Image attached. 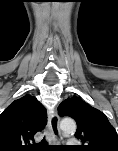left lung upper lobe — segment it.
I'll return each mask as SVG.
<instances>
[{
    "instance_id": "left-lung-upper-lobe-1",
    "label": "left lung upper lobe",
    "mask_w": 118,
    "mask_h": 151,
    "mask_svg": "<svg viewBox=\"0 0 118 151\" xmlns=\"http://www.w3.org/2000/svg\"><path fill=\"white\" fill-rule=\"evenodd\" d=\"M60 116L77 122L76 138L85 145L81 151H118V137L106 115L77 96L67 98L58 106Z\"/></svg>"
}]
</instances>
